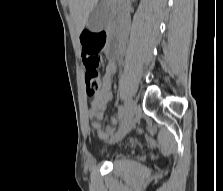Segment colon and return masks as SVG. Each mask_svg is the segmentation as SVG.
I'll return each instance as SVG.
<instances>
[{"label":"colon","instance_id":"1","mask_svg":"<svg viewBox=\"0 0 223 191\" xmlns=\"http://www.w3.org/2000/svg\"><path fill=\"white\" fill-rule=\"evenodd\" d=\"M106 42L104 32L86 31L81 35L82 60L86 70V92L89 96L96 94L101 86L100 55Z\"/></svg>","mask_w":223,"mask_h":191}]
</instances>
